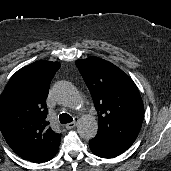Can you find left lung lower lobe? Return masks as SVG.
I'll return each mask as SVG.
<instances>
[{"label":"left lung lower lobe","mask_w":171,"mask_h":171,"mask_svg":"<svg viewBox=\"0 0 171 171\" xmlns=\"http://www.w3.org/2000/svg\"><path fill=\"white\" fill-rule=\"evenodd\" d=\"M89 145L91 151L102 158H114L126 151L124 148L116 146L97 136L89 141Z\"/></svg>","instance_id":"0a47b994"}]
</instances>
